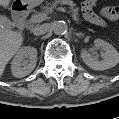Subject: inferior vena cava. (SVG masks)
<instances>
[{
    "label": "inferior vena cava",
    "instance_id": "obj_1",
    "mask_svg": "<svg viewBox=\"0 0 119 119\" xmlns=\"http://www.w3.org/2000/svg\"><path fill=\"white\" fill-rule=\"evenodd\" d=\"M49 28H50V24H48V23H44L42 25H37L33 29V34L36 36L43 35L49 30Z\"/></svg>",
    "mask_w": 119,
    "mask_h": 119
}]
</instances>
